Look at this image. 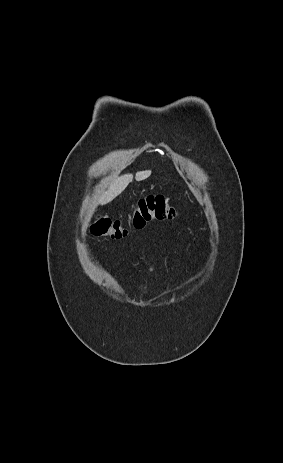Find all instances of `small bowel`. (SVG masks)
Masks as SVG:
<instances>
[{"label": "small bowel", "mask_w": 283, "mask_h": 463, "mask_svg": "<svg viewBox=\"0 0 283 463\" xmlns=\"http://www.w3.org/2000/svg\"><path fill=\"white\" fill-rule=\"evenodd\" d=\"M150 271H153V268H152V267L150 268Z\"/></svg>", "instance_id": "small-bowel-1"}]
</instances>
